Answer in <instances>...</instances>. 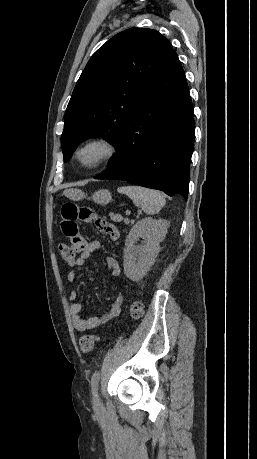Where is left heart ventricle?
I'll return each mask as SVG.
<instances>
[{
    "mask_svg": "<svg viewBox=\"0 0 257 459\" xmlns=\"http://www.w3.org/2000/svg\"><path fill=\"white\" fill-rule=\"evenodd\" d=\"M100 154H101V150L93 147V148H88L84 150L81 153L80 157L84 163H90L94 161L96 158H98Z\"/></svg>",
    "mask_w": 257,
    "mask_h": 459,
    "instance_id": "obj_1",
    "label": "left heart ventricle"
}]
</instances>
